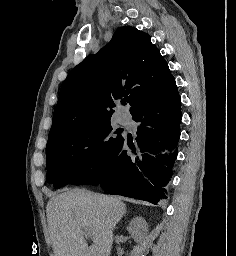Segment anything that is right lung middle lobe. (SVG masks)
<instances>
[{
  "instance_id": "obj_1",
  "label": "right lung middle lobe",
  "mask_w": 236,
  "mask_h": 256,
  "mask_svg": "<svg viewBox=\"0 0 236 256\" xmlns=\"http://www.w3.org/2000/svg\"><path fill=\"white\" fill-rule=\"evenodd\" d=\"M112 137L110 120L77 126L48 139L46 147L47 181L60 188L98 163L103 162L122 141V130Z\"/></svg>"
}]
</instances>
